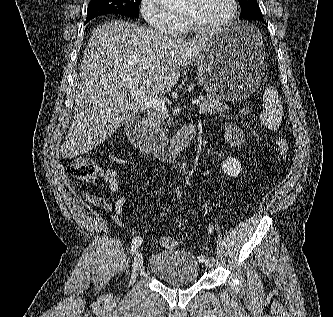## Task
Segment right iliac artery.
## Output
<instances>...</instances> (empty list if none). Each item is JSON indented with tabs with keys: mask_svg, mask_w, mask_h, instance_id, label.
<instances>
[{
	"mask_svg": "<svg viewBox=\"0 0 333 317\" xmlns=\"http://www.w3.org/2000/svg\"><path fill=\"white\" fill-rule=\"evenodd\" d=\"M142 243V238L137 236L132 241L131 252L134 254Z\"/></svg>",
	"mask_w": 333,
	"mask_h": 317,
	"instance_id": "82829eb1",
	"label": "right iliac artery"
}]
</instances>
